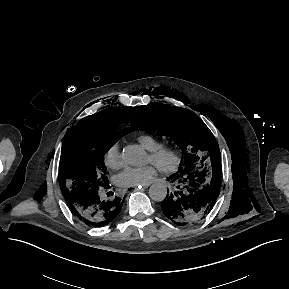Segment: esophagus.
Wrapping results in <instances>:
<instances>
[{
    "label": "esophagus",
    "instance_id": "obj_1",
    "mask_svg": "<svg viewBox=\"0 0 289 289\" xmlns=\"http://www.w3.org/2000/svg\"><path fill=\"white\" fill-rule=\"evenodd\" d=\"M150 185H151V184L149 183V184H147V185L142 186V188L146 189V188H148ZM138 189H139V187H135V190H138Z\"/></svg>",
    "mask_w": 289,
    "mask_h": 289
}]
</instances>
